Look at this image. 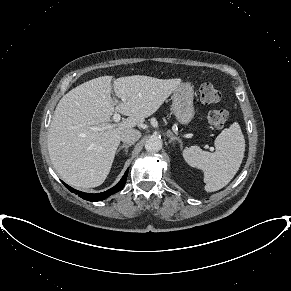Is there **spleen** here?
I'll return each mask as SVG.
<instances>
[{
  "label": "spleen",
  "instance_id": "obj_1",
  "mask_svg": "<svg viewBox=\"0 0 291 291\" xmlns=\"http://www.w3.org/2000/svg\"><path fill=\"white\" fill-rule=\"evenodd\" d=\"M214 153L203 151L198 146L183 150L185 161L204 172L205 190L214 192L225 187L235 176L245 152V139L240 125L234 122L215 139Z\"/></svg>",
  "mask_w": 291,
  "mask_h": 291
}]
</instances>
